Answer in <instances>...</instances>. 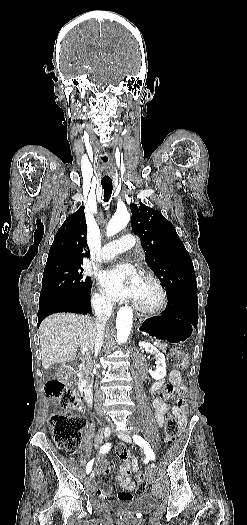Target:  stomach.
<instances>
[{
  "label": "stomach",
  "mask_w": 247,
  "mask_h": 525,
  "mask_svg": "<svg viewBox=\"0 0 247 525\" xmlns=\"http://www.w3.org/2000/svg\"><path fill=\"white\" fill-rule=\"evenodd\" d=\"M146 336L172 344H181L192 333V328L184 321L159 316L147 318L138 325Z\"/></svg>",
  "instance_id": "obj_1"
}]
</instances>
